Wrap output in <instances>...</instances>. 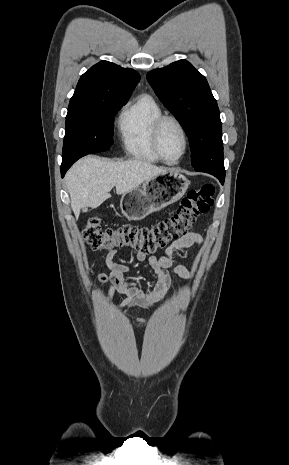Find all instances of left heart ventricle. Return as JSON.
<instances>
[{"label": "left heart ventricle", "mask_w": 289, "mask_h": 465, "mask_svg": "<svg viewBox=\"0 0 289 465\" xmlns=\"http://www.w3.org/2000/svg\"><path fill=\"white\" fill-rule=\"evenodd\" d=\"M184 148V140L178 127L173 122L165 123L161 136V149L169 160L180 156Z\"/></svg>", "instance_id": "left-heart-ventricle-1"}]
</instances>
